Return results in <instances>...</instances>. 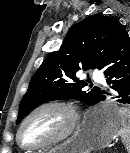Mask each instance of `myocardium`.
<instances>
[{"label": "myocardium", "mask_w": 130, "mask_h": 153, "mask_svg": "<svg viewBox=\"0 0 130 153\" xmlns=\"http://www.w3.org/2000/svg\"><path fill=\"white\" fill-rule=\"evenodd\" d=\"M47 108H59L64 110L69 118L68 121V125L67 127L64 129V131L58 135L57 137L38 144V145H26L25 143L22 142L21 140V134L23 131L24 126L26 125V123L39 111L47 109ZM80 121V115L79 112L76 108V106L69 102V101H65V100H50L44 103L39 104L38 106H36L35 108H33L22 120L18 131H17V141L18 144L26 150H40V149H44L50 146H53L55 144L61 143L65 140H67L76 130L78 124Z\"/></svg>", "instance_id": "myocardium-1"}]
</instances>
